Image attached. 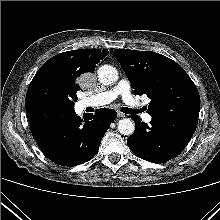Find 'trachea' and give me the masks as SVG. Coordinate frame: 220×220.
<instances>
[{
    "instance_id": "obj_1",
    "label": "trachea",
    "mask_w": 220,
    "mask_h": 220,
    "mask_svg": "<svg viewBox=\"0 0 220 220\" xmlns=\"http://www.w3.org/2000/svg\"><path fill=\"white\" fill-rule=\"evenodd\" d=\"M121 111L126 114H137L138 113L136 110L128 108V107H122Z\"/></svg>"
}]
</instances>
